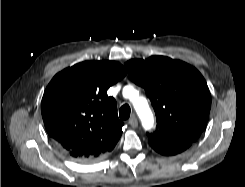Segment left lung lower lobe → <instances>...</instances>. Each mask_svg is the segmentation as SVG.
Segmentation results:
<instances>
[{
  "label": "left lung lower lobe",
  "instance_id": "1",
  "mask_svg": "<svg viewBox=\"0 0 245 187\" xmlns=\"http://www.w3.org/2000/svg\"><path fill=\"white\" fill-rule=\"evenodd\" d=\"M148 142L155 151L166 156L181 153L193 143L192 141L165 143L152 138H148Z\"/></svg>",
  "mask_w": 245,
  "mask_h": 187
}]
</instances>
